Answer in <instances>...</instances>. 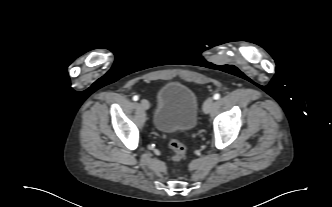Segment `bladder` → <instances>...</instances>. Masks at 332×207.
<instances>
[{
	"mask_svg": "<svg viewBox=\"0 0 332 207\" xmlns=\"http://www.w3.org/2000/svg\"><path fill=\"white\" fill-rule=\"evenodd\" d=\"M198 97L195 91L182 83L169 82L156 95L153 116L154 128L162 133L192 130L197 123Z\"/></svg>",
	"mask_w": 332,
	"mask_h": 207,
	"instance_id": "31cf9c89",
	"label": "bladder"
}]
</instances>
